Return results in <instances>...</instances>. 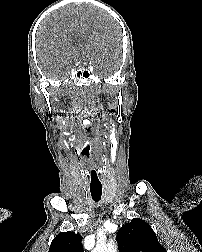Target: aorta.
I'll use <instances>...</instances> for the list:
<instances>
[{
  "mask_svg": "<svg viewBox=\"0 0 202 252\" xmlns=\"http://www.w3.org/2000/svg\"><path fill=\"white\" fill-rule=\"evenodd\" d=\"M92 252H117V248L112 244L99 243Z\"/></svg>",
  "mask_w": 202,
  "mask_h": 252,
  "instance_id": "762f6f07",
  "label": "aorta"
}]
</instances>
